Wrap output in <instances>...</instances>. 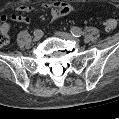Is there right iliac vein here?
I'll use <instances>...</instances> for the list:
<instances>
[{
  "label": "right iliac vein",
  "instance_id": "1",
  "mask_svg": "<svg viewBox=\"0 0 119 119\" xmlns=\"http://www.w3.org/2000/svg\"><path fill=\"white\" fill-rule=\"evenodd\" d=\"M41 38H42V32L41 31H40V34L38 36L34 35V41H39Z\"/></svg>",
  "mask_w": 119,
  "mask_h": 119
}]
</instances>
